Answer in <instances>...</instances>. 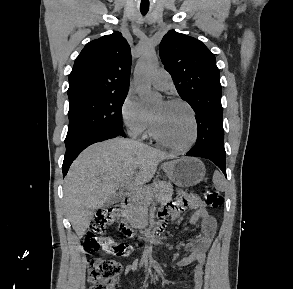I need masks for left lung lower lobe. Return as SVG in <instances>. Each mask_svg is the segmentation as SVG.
<instances>
[{
    "instance_id": "left-lung-lower-lobe-1",
    "label": "left lung lower lobe",
    "mask_w": 293,
    "mask_h": 289,
    "mask_svg": "<svg viewBox=\"0 0 293 289\" xmlns=\"http://www.w3.org/2000/svg\"><path fill=\"white\" fill-rule=\"evenodd\" d=\"M198 136L195 146L186 156L202 157L215 163L226 175L224 149V130L222 119L216 116H207L196 119Z\"/></svg>"
}]
</instances>
